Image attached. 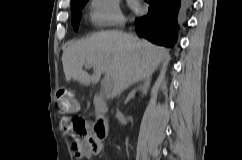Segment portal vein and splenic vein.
Listing matches in <instances>:
<instances>
[{"label":"portal vein and splenic vein","instance_id":"1","mask_svg":"<svg viewBox=\"0 0 242 160\" xmlns=\"http://www.w3.org/2000/svg\"><path fill=\"white\" fill-rule=\"evenodd\" d=\"M86 67L90 68L92 67L91 65H86ZM104 92H108L110 91V89L112 88V81H111V78L109 75H105V78H104Z\"/></svg>","mask_w":242,"mask_h":160}]
</instances>
